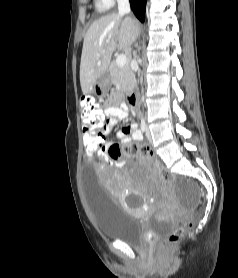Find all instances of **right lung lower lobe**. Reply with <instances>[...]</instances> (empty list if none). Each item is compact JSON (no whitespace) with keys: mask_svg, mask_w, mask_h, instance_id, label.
<instances>
[{"mask_svg":"<svg viewBox=\"0 0 238 278\" xmlns=\"http://www.w3.org/2000/svg\"><path fill=\"white\" fill-rule=\"evenodd\" d=\"M130 5H131V9L134 12L135 16L141 22H144L146 0H130Z\"/></svg>","mask_w":238,"mask_h":278,"instance_id":"98d812e1","label":"right lung lower lobe"}]
</instances>
